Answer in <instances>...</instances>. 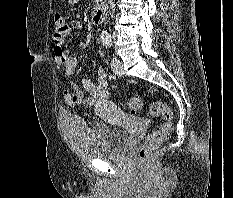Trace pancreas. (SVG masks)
Instances as JSON below:
<instances>
[{
  "mask_svg": "<svg viewBox=\"0 0 233 198\" xmlns=\"http://www.w3.org/2000/svg\"><path fill=\"white\" fill-rule=\"evenodd\" d=\"M101 0H96V2L98 3V2H100Z\"/></svg>",
  "mask_w": 233,
  "mask_h": 198,
  "instance_id": "cf45deb5",
  "label": "pancreas"
}]
</instances>
